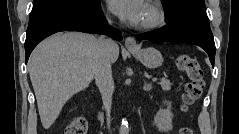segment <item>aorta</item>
<instances>
[{
    "mask_svg": "<svg viewBox=\"0 0 239 134\" xmlns=\"http://www.w3.org/2000/svg\"><path fill=\"white\" fill-rule=\"evenodd\" d=\"M120 134H128L129 133V126L126 119H123L120 125Z\"/></svg>",
    "mask_w": 239,
    "mask_h": 134,
    "instance_id": "aorta-1",
    "label": "aorta"
}]
</instances>
